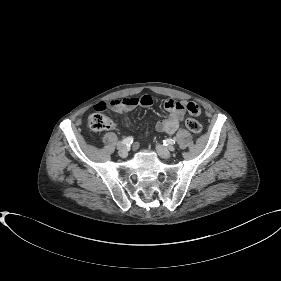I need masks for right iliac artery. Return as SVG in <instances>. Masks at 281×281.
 <instances>
[{
  "label": "right iliac artery",
  "instance_id": "obj_1",
  "mask_svg": "<svg viewBox=\"0 0 281 281\" xmlns=\"http://www.w3.org/2000/svg\"><path fill=\"white\" fill-rule=\"evenodd\" d=\"M133 143V137H126L120 142V145H130Z\"/></svg>",
  "mask_w": 281,
  "mask_h": 281
}]
</instances>
